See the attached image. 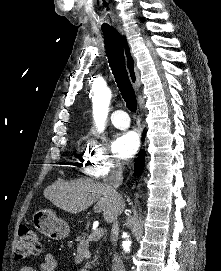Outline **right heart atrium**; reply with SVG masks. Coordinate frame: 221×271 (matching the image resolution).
Listing matches in <instances>:
<instances>
[{
  "mask_svg": "<svg viewBox=\"0 0 221 271\" xmlns=\"http://www.w3.org/2000/svg\"><path fill=\"white\" fill-rule=\"evenodd\" d=\"M90 151H94L92 154ZM90 151H77L81 159V170L85 177H103L107 167L111 166L109 159L113 158L109 151H97V146H90Z\"/></svg>",
  "mask_w": 221,
  "mask_h": 271,
  "instance_id": "d8ad5b80",
  "label": "right heart atrium"
}]
</instances>
